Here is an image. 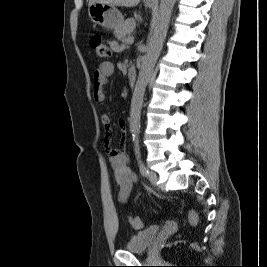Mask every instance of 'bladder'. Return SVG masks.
Instances as JSON below:
<instances>
[{
	"label": "bladder",
	"instance_id": "obj_1",
	"mask_svg": "<svg viewBox=\"0 0 267 267\" xmlns=\"http://www.w3.org/2000/svg\"><path fill=\"white\" fill-rule=\"evenodd\" d=\"M160 231L159 226H150L132 235L125 244V249L130 252L146 251L156 239Z\"/></svg>",
	"mask_w": 267,
	"mask_h": 267
}]
</instances>
